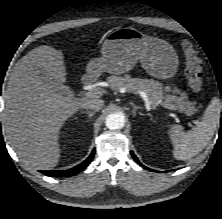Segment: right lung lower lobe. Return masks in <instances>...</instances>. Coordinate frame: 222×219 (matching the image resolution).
<instances>
[{"label":"right lung lower lobe","instance_id":"obj_1","mask_svg":"<svg viewBox=\"0 0 222 219\" xmlns=\"http://www.w3.org/2000/svg\"><path fill=\"white\" fill-rule=\"evenodd\" d=\"M95 154V149H93L92 153L90 156L83 161L81 164L75 166L74 168L68 169V170H53V171H40L41 173L45 174L46 176H51V177H65V176H72L83 169H85L90 161L92 160L93 156Z\"/></svg>","mask_w":222,"mask_h":219}]
</instances>
